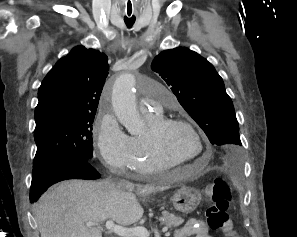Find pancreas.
Segmentation results:
<instances>
[{"mask_svg":"<svg viewBox=\"0 0 297 237\" xmlns=\"http://www.w3.org/2000/svg\"><path fill=\"white\" fill-rule=\"evenodd\" d=\"M161 219H164L162 224L166 225L169 228H176L184 222V220L181 217L175 216L174 214H171L167 211H164L162 213Z\"/></svg>","mask_w":297,"mask_h":237,"instance_id":"1","label":"pancreas"}]
</instances>
